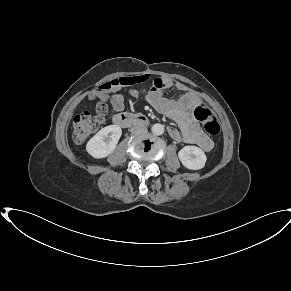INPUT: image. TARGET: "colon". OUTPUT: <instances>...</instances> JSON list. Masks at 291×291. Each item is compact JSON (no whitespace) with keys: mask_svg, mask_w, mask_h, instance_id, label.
Instances as JSON below:
<instances>
[{"mask_svg":"<svg viewBox=\"0 0 291 291\" xmlns=\"http://www.w3.org/2000/svg\"><path fill=\"white\" fill-rule=\"evenodd\" d=\"M146 81L145 77H120L100 85L97 94L102 102L97 106L96 115H91L88 111H83L73 118L74 139L77 142L85 141L90 135L94 134L101 127L104 116L107 112L105 104L106 98L115 88L133 87ZM135 95L136 91L132 90ZM195 118L202 124L204 130L211 136H217L220 126L216 117L205 106H196L194 109Z\"/></svg>","mask_w":291,"mask_h":291,"instance_id":"5ec220e1","label":"colon"}]
</instances>
